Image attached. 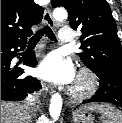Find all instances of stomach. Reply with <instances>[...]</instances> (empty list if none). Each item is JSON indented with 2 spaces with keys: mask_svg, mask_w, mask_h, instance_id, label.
Here are the masks:
<instances>
[{
  "mask_svg": "<svg viewBox=\"0 0 122 123\" xmlns=\"http://www.w3.org/2000/svg\"><path fill=\"white\" fill-rule=\"evenodd\" d=\"M74 123H94V118L86 111H76L73 113Z\"/></svg>",
  "mask_w": 122,
  "mask_h": 123,
  "instance_id": "0dacf381",
  "label": "stomach"
}]
</instances>
